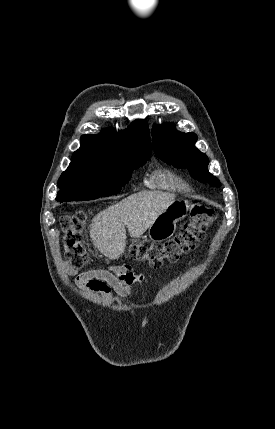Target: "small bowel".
<instances>
[{
	"mask_svg": "<svg viewBox=\"0 0 275 429\" xmlns=\"http://www.w3.org/2000/svg\"><path fill=\"white\" fill-rule=\"evenodd\" d=\"M74 282L79 288L105 295H109L113 288L120 296L130 297L132 285L144 283L146 278L143 275L134 274L131 266L125 265L113 271L102 269L85 271L78 274L74 278Z\"/></svg>",
	"mask_w": 275,
	"mask_h": 429,
	"instance_id": "1",
	"label": "small bowel"
}]
</instances>
